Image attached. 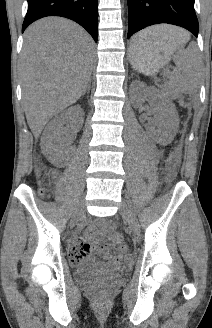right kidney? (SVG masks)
Segmentation results:
<instances>
[{
    "instance_id": "right-kidney-1",
    "label": "right kidney",
    "mask_w": 212,
    "mask_h": 328,
    "mask_svg": "<svg viewBox=\"0 0 212 328\" xmlns=\"http://www.w3.org/2000/svg\"><path fill=\"white\" fill-rule=\"evenodd\" d=\"M84 121V112L79 105L70 107L63 111L60 115L56 116L46 127L42 140L45 144V152L54 154L59 151L63 139L61 137L60 129L62 126L69 123L68 128L72 131L78 130Z\"/></svg>"
}]
</instances>
